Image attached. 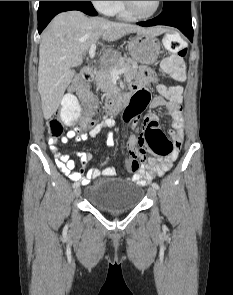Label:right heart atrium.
I'll return each instance as SVG.
<instances>
[{
  "instance_id": "d8ad5b80",
  "label": "right heart atrium",
  "mask_w": 233,
  "mask_h": 295,
  "mask_svg": "<svg viewBox=\"0 0 233 295\" xmlns=\"http://www.w3.org/2000/svg\"><path fill=\"white\" fill-rule=\"evenodd\" d=\"M91 3L100 13L109 15L112 12L115 1H91Z\"/></svg>"
}]
</instances>
